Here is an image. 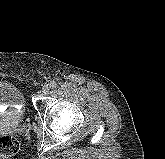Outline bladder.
Here are the masks:
<instances>
[{"label":"bladder","instance_id":"1","mask_svg":"<svg viewBox=\"0 0 165 159\" xmlns=\"http://www.w3.org/2000/svg\"><path fill=\"white\" fill-rule=\"evenodd\" d=\"M3 106L11 111L0 112V122L9 117H22L25 113L26 104L21 89L6 81H0V107Z\"/></svg>","mask_w":165,"mask_h":159}]
</instances>
